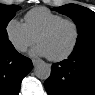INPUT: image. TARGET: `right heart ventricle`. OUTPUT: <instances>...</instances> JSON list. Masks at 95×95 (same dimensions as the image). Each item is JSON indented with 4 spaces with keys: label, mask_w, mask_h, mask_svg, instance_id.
Wrapping results in <instances>:
<instances>
[{
    "label": "right heart ventricle",
    "mask_w": 95,
    "mask_h": 95,
    "mask_svg": "<svg viewBox=\"0 0 95 95\" xmlns=\"http://www.w3.org/2000/svg\"><path fill=\"white\" fill-rule=\"evenodd\" d=\"M62 18L61 15L44 7H38L26 13L24 16V24L30 34L36 38L43 29Z\"/></svg>",
    "instance_id": "e07e8e85"
}]
</instances>
